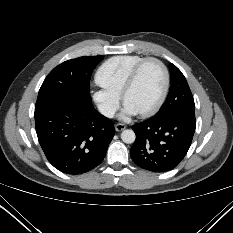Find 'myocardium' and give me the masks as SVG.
Masks as SVG:
<instances>
[{
    "label": "myocardium",
    "instance_id": "f54148a6",
    "mask_svg": "<svg viewBox=\"0 0 233 233\" xmlns=\"http://www.w3.org/2000/svg\"><path fill=\"white\" fill-rule=\"evenodd\" d=\"M148 62H155L160 66L162 73H163V76H164V85H163L161 95H160L159 99L157 100V102L154 104V106H152L148 110H145L143 112L138 113L141 117L151 116L160 110V108L162 107V105L164 104V102L167 98L169 86H170V74H169V71H168V68L166 67V65L158 58L146 57V58L142 59L139 63H137L135 65V67L132 69V71L130 72V74H129V76H128V78L123 86L122 92H121V98H122L123 103H125V99H126L127 94L134 87L141 69Z\"/></svg>",
    "mask_w": 233,
    "mask_h": 233
}]
</instances>
